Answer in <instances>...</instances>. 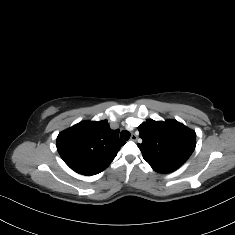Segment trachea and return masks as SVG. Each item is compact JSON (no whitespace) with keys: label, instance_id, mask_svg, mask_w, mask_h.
Wrapping results in <instances>:
<instances>
[{"label":"trachea","instance_id":"trachea-1","mask_svg":"<svg viewBox=\"0 0 235 235\" xmlns=\"http://www.w3.org/2000/svg\"><path fill=\"white\" fill-rule=\"evenodd\" d=\"M130 132L126 131V130H123L121 133H120V138L121 140L123 141H127L129 138H130Z\"/></svg>","mask_w":235,"mask_h":235}]
</instances>
